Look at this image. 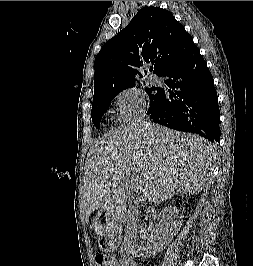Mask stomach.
I'll return each mask as SVG.
<instances>
[{
  "mask_svg": "<svg viewBox=\"0 0 253 266\" xmlns=\"http://www.w3.org/2000/svg\"><path fill=\"white\" fill-rule=\"evenodd\" d=\"M116 246V243L111 241L109 238H108V235H104L102 237H100L99 239V247L104 250V251H108V250H111V249H114Z\"/></svg>",
  "mask_w": 253,
  "mask_h": 266,
  "instance_id": "0dacf381",
  "label": "stomach"
}]
</instances>
